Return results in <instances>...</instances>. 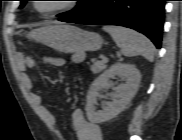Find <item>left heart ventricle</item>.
<instances>
[{"label":"left heart ventricle","instance_id":"b2bd125f","mask_svg":"<svg viewBox=\"0 0 182 140\" xmlns=\"http://www.w3.org/2000/svg\"><path fill=\"white\" fill-rule=\"evenodd\" d=\"M64 3L63 2H41L39 3V8L43 11H48L52 9L60 8Z\"/></svg>","mask_w":182,"mask_h":140}]
</instances>
